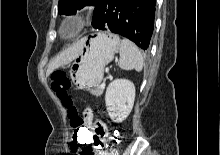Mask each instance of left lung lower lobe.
<instances>
[{
    "label": "left lung lower lobe",
    "mask_w": 220,
    "mask_h": 155,
    "mask_svg": "<svg viewBox=\"0 0 220 155\" xmlns=\"http://www.w3.org/2000/svg\"><path fill=\"white\" fill-rule=\"evenodd\" d=\"M156 0H100L92 26L124 36L146 50L154 28Z\"/></svg>",
    "instance_id": "1"
}]
</instances>
